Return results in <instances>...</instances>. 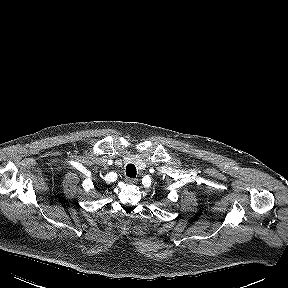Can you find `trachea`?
Returning a JSON list of instances; mask_svg holds the SVG:
<instances>
[{
	"label": "trachea",
	"mask_w": 288,
	"mask_h": 288,
	"mask_svg": "<svg viewBox=\"0 0 288 288\" xmlns=\"http://www.w3.org/2000/svg\"><path fill=\"white\" fill-rule=\"evenodd\" d=\"M126 175H127L128 177H131V178L136 177V175H137V170H136L135 165H133V164H128V165L126 166Z\"/></svg>",
	"instance_id": "obj_1"
}]
</instances>
